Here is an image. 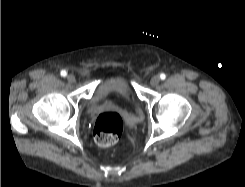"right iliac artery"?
I'll return each mask as SVG.
<instances>
[{
	"label": "right iliac artery",
	"instance_id": "1",
	"mask_svg": "<svg viewBox=\"0 0 245 187\" xmlns=\"http://www.w3.org/2000/svg\"><path fill=\"white\" fill-rule=\"evenodd\" d=\"M60 74L61 76L65 77L67 75V72L65 70H62Z\"/></svg>",
	"mask_w": 245,
	"mask_h": 187
}]
</instances>
